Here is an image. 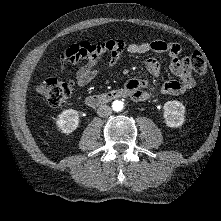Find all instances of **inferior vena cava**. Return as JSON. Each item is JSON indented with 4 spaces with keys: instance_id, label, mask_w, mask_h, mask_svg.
Wrapping results in <instances>:
<instances>
[{
    "instance_id": "inferior-vena-cava-1",
    "label": "inferior vena cava",
    "mask_w": 221,
    "mask_h": 221,
    "mask_svg": "<svg viewBox=\"0 0 221 221\" xmlns=\"http://www.w3.org/2000/svg\"><path fill=\"white\" fill-rule=\"evenodd\" d=\"M111 113H112V108L108 105H101L97 109V114L100 117H108L109 115H111Z\"/></svg>"
}]
</instances>
